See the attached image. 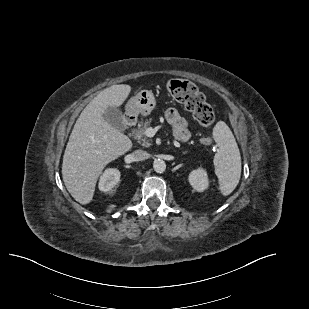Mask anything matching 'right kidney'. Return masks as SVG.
<instances>
[{
    "instance_id": "right-kidney-1",
    "label": "right kidney",
    "mask_w": 309,
    "mask_h": 309,
    "mask_svg": "<svg viewBox=\"0 0 309 309\" xmlns=\"http://www.w3.org/2000/svg\"><path fill=\"white\" fill-rule=\"evenodd\" d=\"M120 180V172L117 169H107L99 180V189L103 192L110 191Z\"/></svg>"
}]
</instances>
